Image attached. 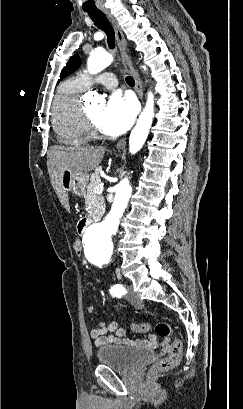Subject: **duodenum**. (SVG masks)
Listing matches in <instances>:
<instances>
[{
	"mask_svg": "<svg viewBox=\"0 0 243 409\" xmlns=\"http://www.w3.org/2000/svg\"><path fill=\"white\" fill-rule=\"evenodd\" d=\"M91 221L89 219H83L79 222L78 229L80 232H83L89 225Z\"/></svg>",
	"mask_w": 243,
	"mask_h": 409,
	"instance_id": "duodenum-1",
	"label": "duodenum"
}]
</instances>
